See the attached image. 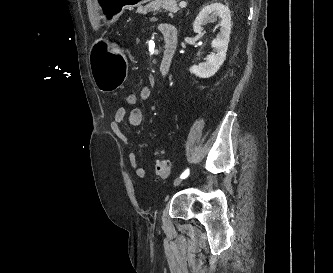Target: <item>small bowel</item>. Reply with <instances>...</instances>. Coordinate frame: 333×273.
Here are the masks:
<instances>
[{"instance_id":"c3829d8e","label":"small bowel","mask_w":333,"mask_h":273,"mask_svg":"<svg viewBox=\"0 0 333 273\" xmlns=\"http://www.w3.org/2000/svg\"><path fill=\"white\" fill-rule=\"evenodd\" d=\"M166 24L159 25V30L162 32L163 27ZM134 94V93H130ZM151 97V90L149 87L145 86L142 87L138 94V99L141 101H147ZM138 101V100H137ZM127 120L131 125L137 126L141 124L143 120V113L140 108L138 109H132L130 112H128L127 109H123V107H120L117 109L114 115V119L112 121L111 127L116 135V137L127 147L131 146L130 140L127 137V135L122 130V124L123 122ZM128 161L131 165V167L134 170L135 176L137 178H144L145 177V169L139 164L136 154L133 151H129L128 153Z\"/></svg>"}]
</instances>
